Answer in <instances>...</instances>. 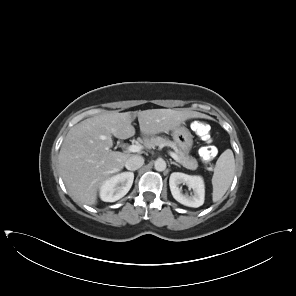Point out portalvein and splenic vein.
Segmentation results:
<instances>
[{"mask_svg": "<svg viewBox=\"0 0 296 296\" xmlns=\"http://www.w3.org/2000/svg\"><path fill=\"white\" fill-rule=\"evenodd\" d=\"M142 149L141 145L132 144L128 147L129 152H139ZM170 156L177 162H179V157L174 152H169Z\"/></svg>", "mask_w": 296, "mask_h": 296, "instance_id": "portal-vein-and-splenic-vein-1", "label": "portal vein and splenic vein"}]
</instances>
